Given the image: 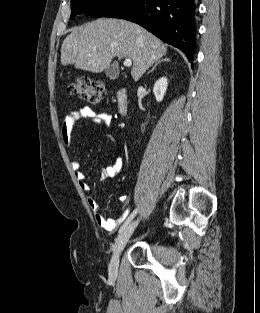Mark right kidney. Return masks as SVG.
Here are the masks:
<instances>
[{
	"mask_svg": "<svg viewBox=\"0 0 260 313\" xmlns=\"http://www.w3.org/2000/svg\"><path fill=\"white\" fill-rule=\"evenodd\" d=\"M168 81L167 78L162 77L156 81L153 87V93L158 102H161L164 98L165 92L167 90Z\"/></svg>",
	"mask_w": 260,
	"mask_h": 313,
	"instance_id": "right-kidney-1",
	"label": "right kidney"
}]
</instances>
